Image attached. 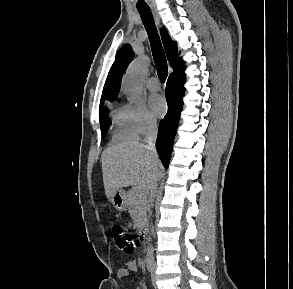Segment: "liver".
<instances>
[{
  "label": "liver",
  "instance_id": "1",
  "mask_svg": "<svg viewBox=\"0 0 293 289\" xmlns=\"http://www.w3.org/2000/svg\"><path fill=\"white\" fill-rule=\"evenodd\" d=\"M107 198L120 188L138 185L148 193L162 175V165L146 146L128 141L105 149L101 155Z\"/></svg>",
  "mask_w": 293,
  "mask_h": 289
}]
</instances>
